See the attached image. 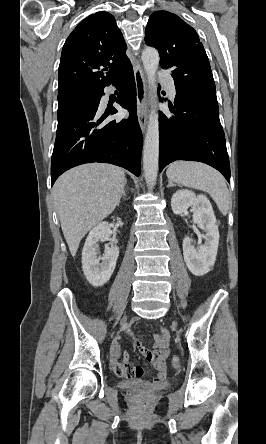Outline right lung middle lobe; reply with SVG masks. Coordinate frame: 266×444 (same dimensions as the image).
Returning a JSON list of instances; mask_svg holds the SVG:
<instances>
[{"label":"right lung middle lobe","instance_id":"1","mask_svg":"<svg viewBox=\"0 0 266 444\" xmlns=\"http://www.w3.org/2000/svg\"><path fill=\"white\" fill-rule=\"evenodd\" d=\"M98 97V92L72 94L58 98V123L71 115L91 107Z\"/></svg>","mask_w":266,"mask_h":444}]
</instances>
